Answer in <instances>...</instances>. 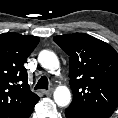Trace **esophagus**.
Returning a JSON list of instances; mask_svg holds the SVG:
<instances>
[{"mask_svg":"<svg viewBox=\"0 0 118 118\" xmlns=\"http://www.w3.org/2000/svg\"><path fill=\"white\" fill-rule=\"evenodd\" d=\"M42 92H43L46 96H51L52 93H53V89L51 88V89H49V90H43Z\"/></svg>","mask_w":118,"mask_h":118,"instance_id":"esophagus-1","label":"esophagus"}]
</instances>
